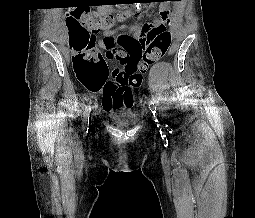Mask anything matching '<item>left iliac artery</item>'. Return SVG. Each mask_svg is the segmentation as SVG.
I'll return each instance as SVG.
<instances>
[{
  "label": "left iliac artery",
  "instance_id": "obj_1",
  "mask_svg": "<svg viewBox=\"0 0 255 218\" xmlns=\"http://www.w3.org/2000/svg\"><path fill=\"white\" fill-rule=\"evenodd\" d=\"M149 107H150V110L152 111V113L155 114L156 113V106L154 105L153 101L149 102Z\"/></svg>",
  "mask_w": 255,
  "mask_h": 218
}]
</instances>
